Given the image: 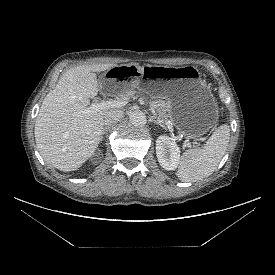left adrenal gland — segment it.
I'll return each instance as SVG.
<instances>
[{"label":"left adrenal gland","mask_w":275,"mask_h":275,"mask_svg":"<svg viewBox=\"0 0 275 275\" xmlns=\"http://www.w3.org/2000/svg\"><path fill=\"white\" fill-rule=\"evenodd\" d=\"M149 120H150L151 122H153V123L159 125L158 121H157L153 116H151V117L149 118Z\"/></svg>","instance_id":"obj_1"}]
</instances>
